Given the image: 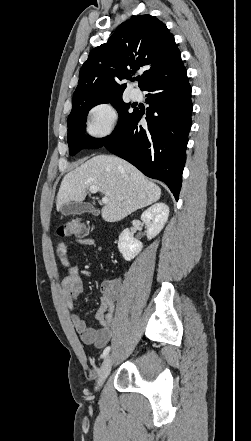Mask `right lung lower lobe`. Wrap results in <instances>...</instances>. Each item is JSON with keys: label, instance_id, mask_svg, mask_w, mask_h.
Returning <instances> with one entry per match:
<instances>
[{"label": "right lung lower lobe", "instance_id": "obj_1", "mask_svg": "<svg viewBox=\"0 0 251 441\" xmlns=\"http://www.w3.org/2000/svg\"><path fill=\"white\" fill-rule=\"evenodd\" d=\"M142 91L149 92L147 126L139 124L143 113L135 110L127 124L103 146L146 176L166 183L178 200L193 108L184 65L156 78Z\"/></svg>", "mask_w": 251, "mask_h": 441}]
</instances>
